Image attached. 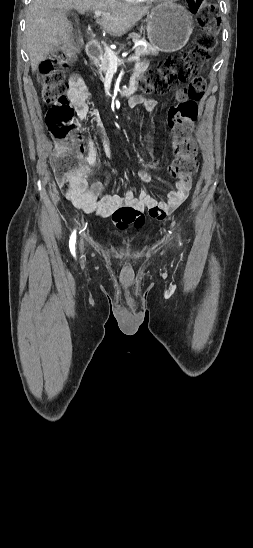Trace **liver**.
Listing matches in <instances>:
<instances>
[{"label":"liver","instance_id":"1","mask_svg":"<svg viewBox=\"0 0 253 548\" xmlns=\"http://www.w3.org/2000/svg\"><path fill=\"white\" fill-rule=\"evenodd\" d=\"M80 14L101 11L96 22L108 33H127L149 11L146 6H132L117 0H32L26 16L25 40L32 72L51 51L71 39L73 30L67 12Z\"/></svg>","mask_w":253,"mask_h":548}]
</instances>
